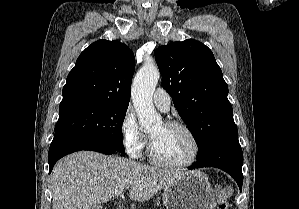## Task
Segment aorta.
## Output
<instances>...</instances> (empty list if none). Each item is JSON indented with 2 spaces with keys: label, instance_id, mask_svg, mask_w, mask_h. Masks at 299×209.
Returning <instances> with one entry per match:
<instances>
[{
  "label": "aorta",
  "instance_id": "762f6f07",
  "mask_svg": "<svg viewBox=\"0 0 299 209\" xmlns=\"http://www.w3.org/2000/svg\"><path fill=\"white\" fill-rule=\"evenodd\" d=\"M159 76L158 68L153 63H146L136 74L132 84V102L139 124L145 129L160 124L162 121L152 101Z\"/></svg>",
  "mask_w": 299,
  "mask_h": 209
}]
</instances>
